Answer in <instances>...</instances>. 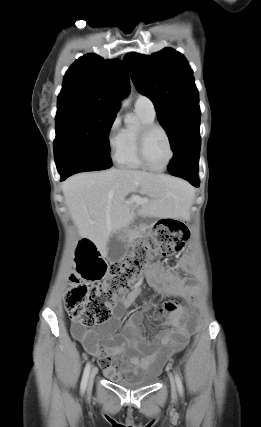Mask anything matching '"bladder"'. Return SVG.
<instances>
[{
  "instance_id": "1",
  "label": "bladder",
  "mask_w": 261,
  "mask_h": 427,
  "mask_svg": "<svg viewBox=\"0 0 261 427\" xmlns=\"http://www.w3.org/2000/svg\"><path fill=\"white\" fill-rule=\"evenodd\" d=\"M157 381L156 375L145 376L137 379L121 380L117 384L126 389H138L153 385Z\"/></svg>"
}]
</instances>
